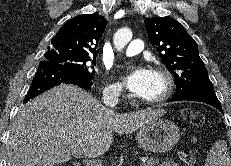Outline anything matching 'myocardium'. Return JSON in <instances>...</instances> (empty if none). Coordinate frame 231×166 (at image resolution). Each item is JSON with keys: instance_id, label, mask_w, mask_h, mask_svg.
<instances>
[{"instance_id": "myocardium-1", "label": "myocardium", "mask_w": 231, "mask_h": 166, "mask_svg": "<svg viewBox=\"0 0 231 166\" xmlns=\"http://www.w3.org/2000/svg\"><path fill=\"white\" fill-rule=\"evenodd\" d=\"M152 71L161 78L162 89L155 97L143 98L142 102L149 105H156L164 102L170 97L174 89V78L171 72L164 66H156Z\"/></svg>"}]
</instances>
